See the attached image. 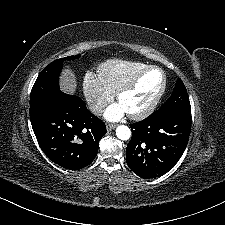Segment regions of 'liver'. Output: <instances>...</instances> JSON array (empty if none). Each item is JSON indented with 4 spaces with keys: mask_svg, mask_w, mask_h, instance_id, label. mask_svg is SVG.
Here are the masks:
<instances>
[{
    "mask_svg": "<svg viewBox=\"0 0 225 225\" xmlns=\"http://www.w3.org/2000/svg\"><path fill=\"white\" fill-rule=\"evenodd\" d=\"M77 87V81L75 74L69 70L65 69L62 73L60 80V88L63 92L68 94H73Z\"/></svg>",
    "mask_w": 225,
    "mask_h": 225,
    "instance_id": "6515ba94",
    "label": "liver"
}]
</instances>
